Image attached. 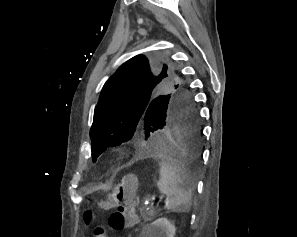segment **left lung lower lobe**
I'll return each instance as SVG.
<instances>
[{"label":"left lung lower lobe","mask_w":297,"mask_h":237,"mask_svg":"<svg viewBox=\"0 0 297 237\" xmlns=\"http://www.w3.org/2000/svg\"><path fill=\"white\" fill-rule=\"evenodd\" d=\"M161 122V127L146 141L138 155L166 156L195 169L199 164L203 135L196 106L180 101Z\"/></svg>","instance_id":"1"}]
</instances>
